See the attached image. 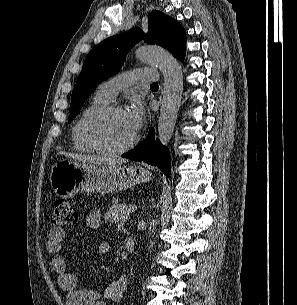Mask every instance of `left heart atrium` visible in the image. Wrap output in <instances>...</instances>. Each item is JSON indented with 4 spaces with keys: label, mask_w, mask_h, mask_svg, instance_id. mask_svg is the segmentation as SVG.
<instances>
[{
    "label": "left heart atrium",
    "mask_w": 297,
    "mask_h": 305,
    "mask_svg": "<svg viewBox=\"0 0 297 305\" xmlns=\"http://www.w3.org/2000/svg\"><path fill=\"white\" fill-rule=\"evenodd\" d=\"M126 117L135 131L140 130L145 120L144 107L140 100H134L132 105L125 112Z\"/></svg>",
    "instance_id": "1"
}]
</instances>
